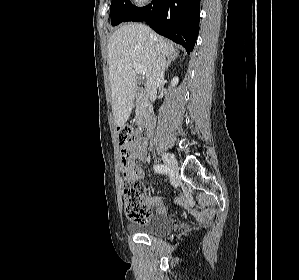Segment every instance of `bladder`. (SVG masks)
<instances>
[{
    "mask_svg": "<svg viewBox=\"0 0 299 280\" xmlns=\"http://www.w3.org/2000/svg\"><path fill=\"white\" fill-rule=\"evenodd\" d=\"M172 229V222L164 215H156L141 224L129 225L128 230L134 234L163 236Z\"/></svg>",
    "mask_w": 299,
    "mask_h": 280,
    "instance_id": "obj_1",
    "label": "bladder"
}]
</instances>
